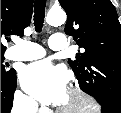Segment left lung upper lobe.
Masks as SVG:
<instances>
[{"label": "left lung upper lobe", "instance_id": "left-lung-upper-lobe-1", "mask_svg": "<svg viewBox=\"0 0 121 113\" xmlns=\"http://www.w3.org/2000/svg\"><path fill=\"white\" fill-rule=\"evenodd\" d=\"M65 32L85 52L68 63L81 89L103 105L121 108V25L110 0H59Z\"/></svg>", "mask_w": 121, "mask_h": 113}]
</instances>
